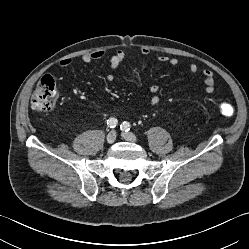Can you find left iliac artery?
<instances>
[{"label": "left iliac artery", "instance_id": "44dca946", "mask_svg": "<svg viewBox=\"0 0 249 249\" xmlns=\"http://www.w3.org/2000/svg\"><path fill=\"white\" fill-rule=\"evenodd\" d=\"M121 130L128 132L130 130V124L128 122H123L121 125Z\"/></svg>", "mask_w": 249, "mask_h": 249}]
</instances>
